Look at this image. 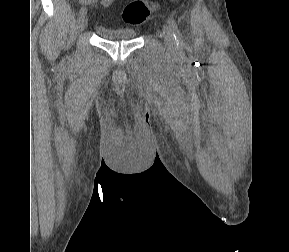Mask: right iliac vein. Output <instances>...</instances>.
Returning a JSON list of instances; mask_svg holds the SVG:
<instances>
[{
    "label": "right iliac vein",
    "instance_id": "1",
    "mask_svg": "<svg viewBox=\"0 0 289 252\" xmlns=\"http://www.w3.org/2000/svg\"><path fill=\"white\" fill-rule=\"evenodd\" d=\"M88 24V19L86 14L80 15L78 18L77 26L79 31H83Z\"/></svg>",
    "mask_w": 289,
    "mask_h": 252
}]
</instances>
